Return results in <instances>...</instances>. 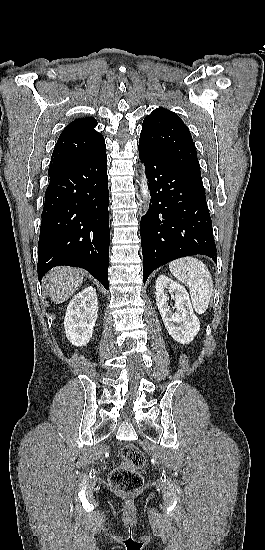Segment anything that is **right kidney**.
<instances>
[{"label": "right kidney", "mask_w": 265, "mask_h": 550, "mask_svg": "<svg viewBox=\"0 0 265 550\" xmlns=\"http://www.w3.org/2000/svg\"><path fill=\"white\" fill-rule=\"evenodd\" d=\"M96 289L87 287L70 301L64 318L67 339L75 346H85L92 337L98 316Z\"/></svg>", "instance_id": "right-kidney-1"}]
</instances>
